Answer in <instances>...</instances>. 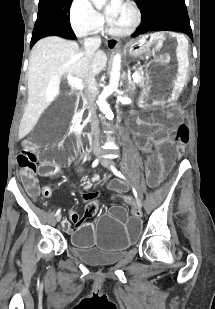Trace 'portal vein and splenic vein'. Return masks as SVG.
<instances>
[{"instance_id": "1", "label": "portal vein and splenic vein", "mask_w": 215, "mask_h": 309, "mask_svg": "<svg viewBox=\"0 0 215 309\" xmlns=\"http://www.w3.org/2000/svg\"><path fill=\"white\" fill-rule=\"evenodd\" d=\"M132 78H133V80H135V82H137V80H139V76H138L137 72H134V74H132ZM68 80H69L71 86H75V88H80V90H82L83 86L81 84L80 78H75V76H71V74H68Z\"/></svg>"}]
</instances>
